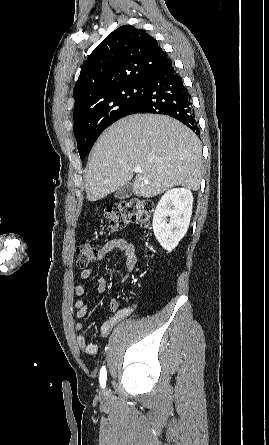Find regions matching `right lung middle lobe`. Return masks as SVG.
<instances>
[{
	"instance_id": "obj_1",
	"label": "right lung middle lobe",
	"mask_w": 269,
	"mask_h": 445,
	"mask_svg": "<svg viewBox=\"0 0 269 445\" xmlns=\"http://www.w3.org/2000/svg\"><path fill=\"white\" fill-rule=\"evenodd\" d=\"M145 84L122 86L86 101L74 110V134L81 159L90 152L99 135L138 105Z\"/></svg>"
}]
</instances>
